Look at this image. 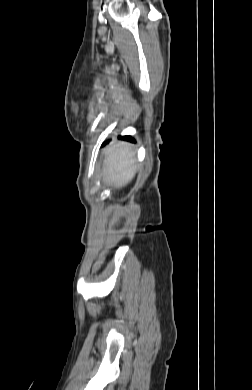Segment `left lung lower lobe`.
Instances as JSON below:
<instances>
[{
	"instance_id": "left-lung-lower-lobe-1",
	"label": "left lung lower lobe",
	"mask_w": 252,
	"mask_h": 390,
	"mask_svg": "<svg viewBox=\"0 0 252 390\" xmlns=\"http://www.w3.org/2000/svg\"><path fill=\"white\" fill-rule=\"evenodd\" d=\"M119 138H123L125 140H129V141L135 142V140L133 138H131L130 136H124V137H119Z\"/></svg>"
}]
</instances>
